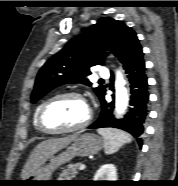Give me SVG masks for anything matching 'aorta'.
I'll use <instances>...</instances> for the list:
<instances>
[{
    "label": "aorta",
    "mask_w": 178,
    "mask_h": 186,
    "mask_svg": "<svg viewBox=\"0 0 178 186\" xmlns=\"http://www.w3.org/2000/svg\"><path fill=\"white\" fill-rule=\"evenodd\" d=\"M115 89H116V113L118 115H122L128 105L129 96L127 93V89L125 88V80L121 71L116 72V81H115Z\"/></svg>",
    "instance_id": "aorta-1"
}]
</instances>
